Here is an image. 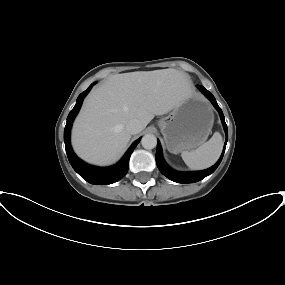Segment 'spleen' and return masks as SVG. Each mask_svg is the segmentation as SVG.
Here are the masks:
<instances>
[{
    "label": "spleen",
    "mask_w": 285,
    "mask_h": 285,
    "mask_svg": "<svg viewBox=\"0 0 285 285\" xmlns=\"http://www.w3.org/2000/svg\"><path fill=\"white\" fill-rule=\"evenodd\" d=\"M223 148L222 136L215 132L211 139L192 151H183L181 157L193 170H202L212 166L220 157Z\"/></svg>",
    "instance_id": "obj_1"
}]
</instances>
